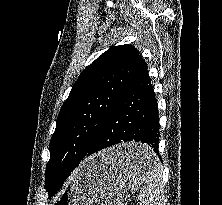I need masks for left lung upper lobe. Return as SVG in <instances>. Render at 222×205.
I'll return each instance as SVG.
<instances>
[{
    "instance_id": "left-lung-upper-lobe-1",
    "label": "left lung upper lobe",
    "mask_w": 222,
    "mask_h": 205,
    "mask_svg": "<svg viewBox=\"0 0 222 205\" xmlns=\"http://www.w3.org/2000/svg\"><path fill=\"white\" fill-rule=\"evenodd\" d=\"M141 61L133 46H111L81 73L60 110L50 141L45 180L48 194L63 176L56 168L58 159L68 151L83 155L89 150Z\"/></svg>"
}]
</instances>
